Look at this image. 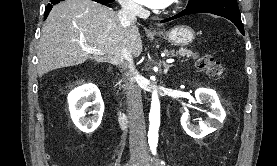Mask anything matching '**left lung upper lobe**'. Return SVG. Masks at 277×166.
I'll list each match as a JSON object with an SVG mask.
<instances>
[{
	"label": "left lung upper lobe",
	"mask_w": 277,
	"mask_h": 166,
	"mask_svg": "<svg viewBox=\"0 0 277 166\" xmlns=\"http://www.w3.org/2000/svg\"><path fill=\"white\" fill-rule=\"evenodd\" d=\"M207 1H211V0H189L186 8L194 7L196 5H199V4L207 2ZM229 1H236V0H229Z\"/></svg>",
	"instance_id": "obj_1"
}]
</instances>
